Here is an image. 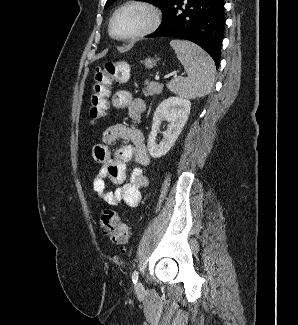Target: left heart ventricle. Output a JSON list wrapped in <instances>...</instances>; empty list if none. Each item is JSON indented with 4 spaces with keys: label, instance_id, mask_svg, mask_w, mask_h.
Instances as JSON below:
<instances>
[{
    "label": "left heart ventricle",
    "instance_id": "b2bd125f",
    "mask_svg": "<svg viewBox=\"0 0 298 325\" xmlns=\"http://www.w3.org/2000/svg\"><path fill=\"white\" fill-rule=\"evenodd\" d=\"M144 22L145 19L139 12H123L115 20L114 34L120 38H130L141 29Z\"/></svg>",
    "mask_w": 298,
    "mask_h": 325
}]
</instances>
